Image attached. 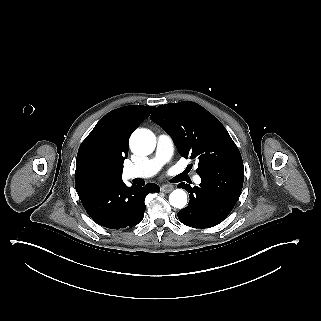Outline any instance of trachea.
<instances>
[{
	"instance_id": "1",
	"label": "trachea",
	"mask_w": 321,
	"mask_h": 321,
	"mask_svg": "<svg viewBox=\"0 0 321 321\" xmlns=\"http://www.w3.org/2000/svg\"><path fill=\"white\" fill-rule=\"evenodd\" d=\"M188 172L185 170L182 174H180L178 177L182 176L183 174H187Z\"/></svg>"
}]
</instances>
